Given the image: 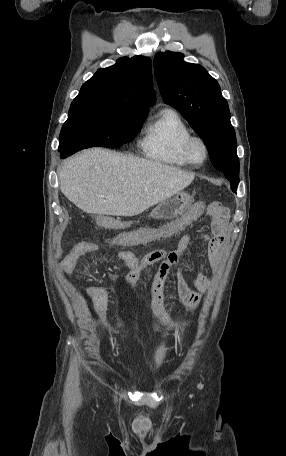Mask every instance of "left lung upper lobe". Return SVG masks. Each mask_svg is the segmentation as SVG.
<instances>
[{
    "label": "left lung upper lobe",
    "instance_id": "obj_1",
    "mask_svg": "<svg viewBox=\"0 0 286 456\" xmlns=\"http://www.w3.org/2000/svg\"><path fill=\"white\" fill-rule=\"evenodd\" d=\"M183 58V54L171 51L155 55L154 72L161 96L189 122L207 146L213 166L235 188L239 182V159L228 103L206 69L184 62Z\"/></svg>",
    "mask_w": 286,
    "mask_h": 456
}]
</instances>
